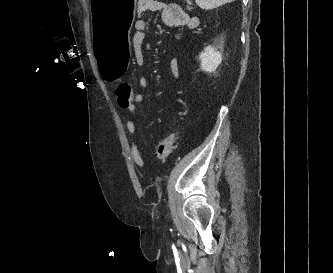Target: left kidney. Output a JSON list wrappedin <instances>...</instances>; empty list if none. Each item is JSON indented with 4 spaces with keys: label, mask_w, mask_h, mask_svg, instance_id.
<instances>
[{
    "label": "left kidney",
    "mask_w": 333,
    "mask_h": 273,
    "mask_svg": "<svg viewBox=\"0 0 333 273\" xmlns=\"http://www.w3.org/2000/svg\"><path fill=\"white\" fill-rule=\"evenodd\" d=\"M218 48L221 47L208 46L199 55L200 67L203 71L214 72L222 62V53L218 51Z\"/></svg>",
    "instance_id": "left-kidney-1"
}]
</instances>
